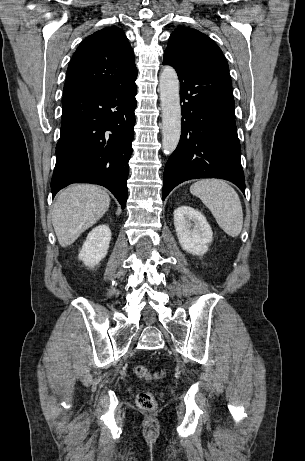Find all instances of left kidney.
I'll return each instance as SVG.
<instances>
[{"label": "left kidney", "instance_id": "1", "mask_svg": "<svg viewBox=\"0 0 305 461\" xmlns=\"http://www.w3.org/2000/svg\"><path fill=\"white\" fill-rule=\"evenodd\" d=\"M173 215L182 249L197 256L205 254L213 240V232L204 215L190 206L178 207Z\"/></svg>", "mask_w": 305, "mask_h": 461}]
</instances>
